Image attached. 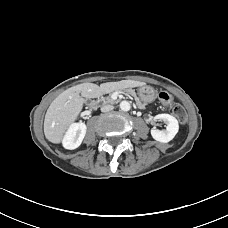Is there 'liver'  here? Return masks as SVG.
Instances as JSON below:
<instances>
[{"label": "liver", "instance_id": "obj_1", "mask_svg": "<svg viewBox=\"0 0 228 228\" xmlns=\"http://www.w3.org/2000/svg\"><path fill=\"white\" fill-rule=\"evenodd\" d=\"M124 84L130 87L144 86L140 81H120L101 85L82 83L68 88L59 94L47 109L44 119V134L48 141L59 144L69 127L81 112L85 98H96L102 93L122 88Z\"/></svg>", "mask_w": 228, "mask_h": 228}]
</instances>
